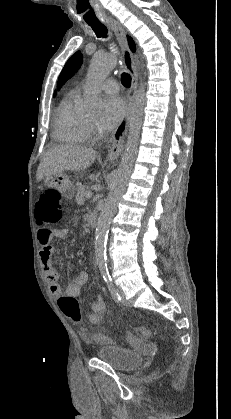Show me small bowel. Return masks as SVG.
Here are the masks:
<instances>
[{"label":"small bowel","mask_w":231,"mask_h":419,"mask_svg":"<svg viewBox=\"0 0 231 419\" xmlns=\"http://www.w3.org/2000/svg\"><path fill=\"white\" fill-rule=\"evenodd\" d=\"M67 231L64 228L51 229L48 226H42L38 230L37 239L40 244V260L43 271L50 282L51 293L55 298L62 295L79 298L83 286L88 281V273L85 270L79 271L73 280L67 285L65 292L59 285V276L52 264V255L54 252V240L64 239ZM92 312L88 314V321L93 325L101 324L106 315V303L103 297L98 296L91 304ZM133 343H138L136 338H132Z\"/></svg>","instance_id":"c3829d8e"}]
</instances>
